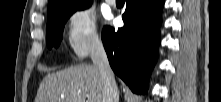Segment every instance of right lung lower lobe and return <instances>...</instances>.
<instances>
[{
	"label": "right lung lower lobe",
	"mask_w": 221,
	"mask_h": 102,
	"mask_svg": "<svg viewBox=\"0 0 221 102\" xmlns=\"http://www.w3.org/2000/svg\"><path fill=\"white\" fill-rule=\"evenodd\" d=\"M164 0H127L124 26H105L102 41L113 71L133 92L144 93L160 44Z\"/></svg>",
	"instance_id": "98d812e1"
}]
</instances>
